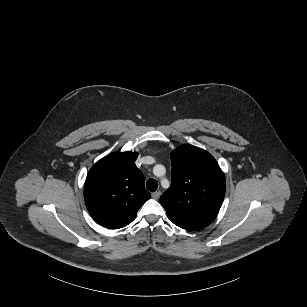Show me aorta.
<instances>
[{"label": "aorta", "instance_id": "762f6f07", "mask_svg": "<svg viewBox=\"0 0 307 307\" xmlns=\"http://www.w3.org/2000/svg\"><path fill=\"white\" fill-rule=\"evenodd\" d=\"M153 174L157 176L160 180L161 185L164 182H169L168 178L166 177V168L162 164H158L153 168Z\"/></svg>", "mask_w": 307, "mask_h": 307}]
</instances>
